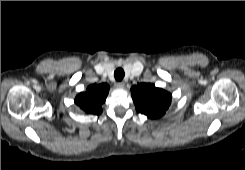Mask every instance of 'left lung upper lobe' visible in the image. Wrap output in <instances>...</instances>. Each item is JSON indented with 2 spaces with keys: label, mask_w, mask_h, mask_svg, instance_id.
I'll return each instance as SVG.
<instances>
[{
  "label": "left lung upper lobe",
  "mask_w": 245,
  "mask_h": 170,
  "mask_svg": "<svg viewBox=\"0 0 245 170\" xmlns=\"http://www.w3.org/2000/svg\"><path fill=\"white\" fill-rule=\"evenodd\" d=\"M131 91L137 112L149 118L161 117L171 104L172 95L150 83L132 86Z\"/></svg>",
  "instance_id": "1"
}]
</instances>
